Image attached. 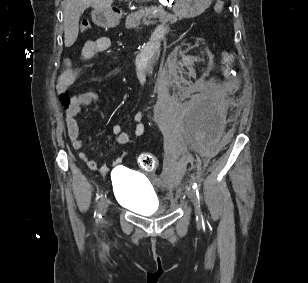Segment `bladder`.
<instances>
[{
    "mask_svg": "<svg viewBox=\"0 0 308 283\" xmlns=\"http://www.w3.org/2000/svg\"><path fill=\"white\" fill-rule=\"evenodd\" d=\"M111 183L115 199L124 207L145 216L163 214L159 197L145 175L118 167L111 173Z\"/></svg>",
    "mask_w": 308,
    "mask_h": 283,
    "instance_id": "bladder-1",
    "label": "bladder"
}]
</instances>
